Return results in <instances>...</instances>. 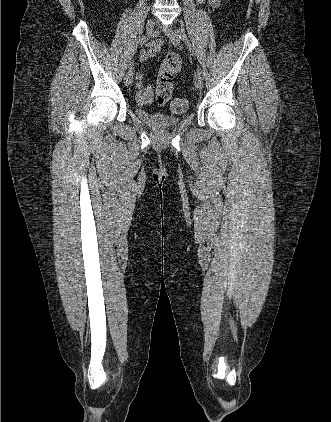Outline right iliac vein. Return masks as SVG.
I'll return each mask as SVG.
<instances>
[{
    "mask_svg": "<svg viewBox=\"0 0 331 422\" xmlns=\"http://www.w3.org/2000/svg\"><path fill=\"white\" fill-rule=\"evenodd\" d=\"M155 24H156V21L153 18L148 20L147 26H146V36L147 37L152 36L154 29H155ZM132 80H133V71L129 70L124 77V84L126 86H129L132 83Z\"/></svg>",
    "mask_w": 331,
    "mask_h": 422,
    "instance_id": "obj_1",
    "label": "right iliac vein"
}]
</instances>
